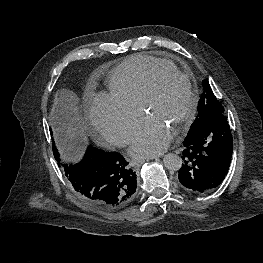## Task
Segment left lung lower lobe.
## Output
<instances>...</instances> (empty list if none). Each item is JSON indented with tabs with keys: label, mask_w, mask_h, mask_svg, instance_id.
<instances>
[{
	"label": "left lung lower lobe",
	"mask_w": 263,
	"mask_h": 263,
	"mask_svg": "<svg viewBox=\"0 0 263 263\" xmlns=\"http://www.w3.org/2000/svg\"><path fill=\"white\" fill-rule=\"evenodd\" d=\"M233 152L230 125L224 114L208 120L202 129L183 141L179 181L195 193L215 189L225 178Z\"/></svg>",
	"instance_id": "left-lung-lower-lobe-1"
}]
</instances>
